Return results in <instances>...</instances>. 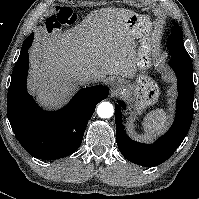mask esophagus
I'll use <instances>...</instances> for the list:
<instances>
[{
	"instance_id": "34e87169",
	"label": "esophagus",
	"mask_w": 199,
	"mask_h": 199,
	"mask_svg": "<svg viewBox=\"0 0 199 199\" xmlns=\"http://www.w3.org/2000/svg\"><path fill=\"white\" fill-rule=\"evenodd\" d=\"M111 87H112V94H117L121 91L122 89V85L121 82L118 80H113L110 83Z\"/></svg>"
}]
</instances>
